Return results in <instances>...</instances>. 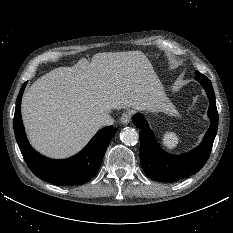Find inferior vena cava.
Segmentation results:
<instances>
[{
    "label": "inferior vena cava",
    "instance_id": "1",
    "mask_svg": "<svg viewBox=\"0 0 233 233\" xmlns=\"http://www.w3.org/2000/svg\"><path fill=\"white\" fill-rule=\"evenodd\" d=\"M113 123H114V119L108 113L101 115L97 119V124L99 126H109V125H112Z\"/></svg>",
    "mask_w": 233,
    "mask_h": 233
}]
</instances>
